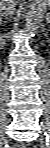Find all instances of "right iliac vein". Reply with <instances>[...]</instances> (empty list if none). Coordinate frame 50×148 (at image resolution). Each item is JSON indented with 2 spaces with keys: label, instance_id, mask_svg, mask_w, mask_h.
<instances>
[{
  "label": "right iliac vein",
  "instance_id": "63e3f726",
  "mask_svg": "<svg viewBox=\"0 0 50 148\" xmlns=\"http://www.w3.org/2000/svg\"><path fill=\"white\" fill-rule=\"evenodd\" d=\"M1 145H3L4 143H6V137L5 136H1Z\"/></svg>",
  "mask_w": 50,
  "mask_h": 148
}]
</instances>
